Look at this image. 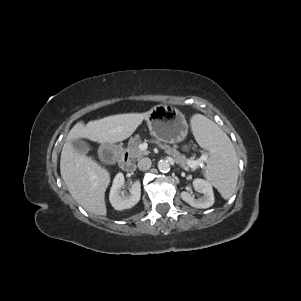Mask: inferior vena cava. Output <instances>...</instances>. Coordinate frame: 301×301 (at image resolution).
<instances>
[{
	"label": "inferior vena cava",
	"instance_id": "obj_1",
	"mask_svg": "<svg viewBox=\"0 0 301 301\" xmlns=\"http://www.w3.org/2000/svg\"><path fill=\"white\" fill-rule=\"evenodd\" d=\"M151 159L148 157L142 158L138 162L139 170H148L151 167Z\"/></svg>",
	"mask_w": 301,
	"mask_h": 301
}]
</instances>
